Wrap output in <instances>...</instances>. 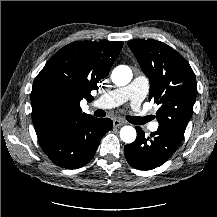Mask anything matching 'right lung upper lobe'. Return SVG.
Segmentation results:
<instances>
[{
	"mask_svg": "<svg viewBox=\"0 0 217 217\" xmlns=\"http://www.w3.org/2000/svg\"><path fill=\"white\" fill-rule=\"evenodd\" d=\"M123 42L75 41L55 53L36 77L32 92V122L37 136L71 125L90 115L80 101L105 78Z\"/></svg>",
	"mask_w": 217,
	"mask_h": 217,
	"instance_id": "right-lung-upper-lobe-1",
	"label": "right lung upper lobe"
}]
</instances>
